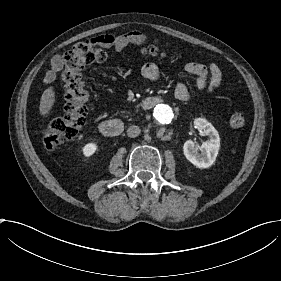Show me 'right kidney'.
<instances>
[{
	"label": "right kidney",
	"mask_w": 281,
	"mask_h": 281,
	"mask_svg": "<svg viewBox=\"0 0 281 281\" xmlns=\"http://www.w3.org/2000/svg\"><path fill=\"white\" fill-rule=\"evenodd\" d=\"M97 145L95 143H88L83 147V154L86 157H89L95 153Z\"/></svg>",
	"instance_id": "ca27d5eb"
}]
</instances>
